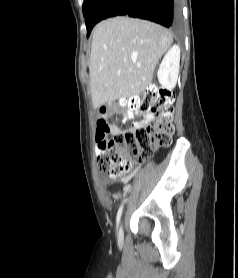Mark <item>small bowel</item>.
I'll list each match as a JSON object with an SVG mask.
<instances>
[{
	"mask_svg": "<svg viewBox=\"0 0 238 278\" xmlns=\"http://www.w3.org/2000/svg\"><path fill=\"white\" fill-rule=\"evenodd\" d=\"M141 117L142 119L140 120V121H138V122H136L134 125H133V127H132V130L133 129H136V128H141V127H144L145 125H147L151 120H152V116L150 115V114H143L142 112H140V111H134V112H132V111H127L126 113H124V114H122V120L123 121H126V120H129V119H132L133 117ZM107 118H108V112L106 111V109H102L101 111H100V114H99V118H98V120L99 119H102V120H104L106 123H107ZM108 124V123H107ZM108 126H109V130H108V132H107V134H115V133H118V132H120V130L117 128V127H115V126H111V125H109L108 124ZM106 134V135H107ZM98 140V139H97ZM98 150H99V154H101V152H102V149H101V147L99 146V140H98ZM129 179H130V177H128V178H126V179H124V182H127V181H129ZM115 198H118V195H116L115 196Z\"/></svg>",
	"mask_w": 238,
	"mask_h": 278,
	"instance_id": "obj_1",
	"label": "small bowel"
}]
</instances>
